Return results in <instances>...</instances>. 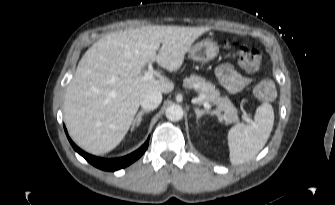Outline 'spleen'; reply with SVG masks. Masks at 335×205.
<instances>
[{"instance_id": "1", "label": "spleen", "mask_w": 335, "mask_h": 205, "mask_svg": "<svg viewBox=\"0 0 335 205\" xmlns=\"http://www.w3.org/2000/svg\"><path fill=\"white\" fill-rule=\"evenodd\" d=\"M274 123V111L263 103L255 113L251 125L236 124L227 135L230 162L239 165L252 160L265 146Z\"/></svg>"}]
</instances>
